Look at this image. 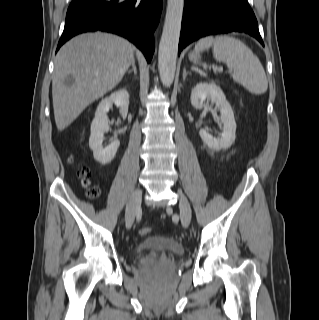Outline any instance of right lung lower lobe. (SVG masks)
Wrapping results in <instances>:
<instances>
[{"instance_id": "right-lung-lower-lobe-1", "label": "right lung lower lobe", "mask_w": 319, "mask_h": 320, "mask_svg": "<svg viewBox=\"0 0 319 320\" xmlns=\"http://www.w3.org/2000/svg\"><path fill=\"white\" fill-rule=\"evenodd\" d=\"M162 0H73L57 50L73 36L107 31L128 38L151 61Z\"/></svg>"}]
</instances>
